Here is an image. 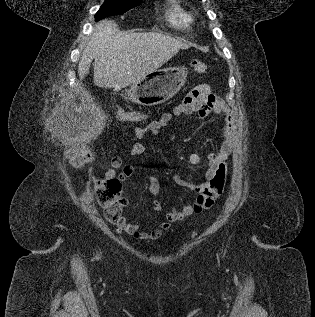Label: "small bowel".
I'll use <instances>...</instances> for the list:
<instances>
[{
    "label": "small bowel",
    "instance_id": "1",
    "mask_svg": "<svg viewBox=\"0 0 315 317\" xmlns=\"http://www.w3.org/2000/svg\"><path fill=\"white\" fill-rule=\"evenodd\" d=\"M210 113L223 117L224 125L222 128V142L218 152L210 153L207 156L208 169L204 181L194 183L180 175L173 176V180L178 186L195 192L196 197L193 203L181 209H172L166 212L165 220L159 227L151 231L142 230L138 224L129 223L123 219L119 225L123 232L139 240H161L167 235L174 222L199 214L214 205L215 200L223 190L227 172L226 160L232 151L235 124L229 107L212 92L209 85L202 84L197 86L171 112H165L158 120L136 127L134 134L139 139L149 135H157L173 117L197 114L203 119ZM127 152L130 156L139 157L145 154L146 147L142 143L136 142L129 147ZM189 161L194 166H201L204 163V157L200 153L193 152L189 156ZM134 170L133 166L124 165L120 156H114L110 161L109 167L104 172V177L106 179H118L122 185L133 175ZM148 190L155 197L153 210L156 212L161 211L162 205L158 199L161 189L157 177H149Z\"/></svg>",
    "mask_w": 315,
    "mask_h": 317
}]
</instances>
